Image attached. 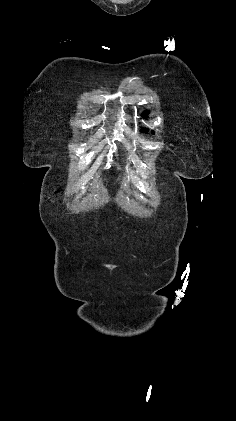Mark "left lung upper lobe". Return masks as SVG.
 I'll list each match as a JSON object with an SVG mask.
<instances>
[{"mask_svg": "<svg viewBox=\"0 0 236 421\" xmlns=\"http://www.w3.org/2000/svg\"><path fill=\"white\" fill-rule=\"evenodd\" d=\"M147 114H148V111L144 112V113L142 114V116H143V117H145ZM141 132H145V133H147V132H148V129H147V128H143V129L141 130Z\"/></svg>", "mask_w": 236, "mask_h": 421, "instance_id": "obj_1", "label": "left lung upper lobe"}]
</instances>
